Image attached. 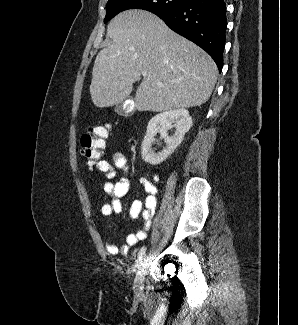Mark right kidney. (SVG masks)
Returning <instances> with one entry per match:
<instances>
[{
  "label": "right kidney",
  "mask_w": 298,
  "mask_h": 325,
  "mask_svg": "<svg viewBox=\"0 0 298 325\" xmlns=\"http://www.w3.org/2000/svg\"><path fill=\"white\" fill-rule=\"evenodd\" d=\"M175 126L171 136H168L167 130ZM192 126V116H190L186 108H176V110H167V112H159L150 118L147 124L146 134L141 144V154L145 163L149 165H160L163 160L174 152L176 146L183 140V136ZM159 132L160 138H164L166 144L162 150L155 152L153 150V142L155 136Z\"/></svg>",
  "instance_id": "obj_1"
}]
</instances>
